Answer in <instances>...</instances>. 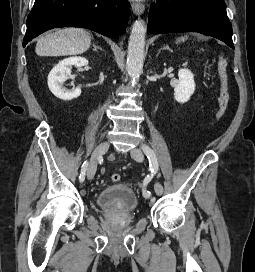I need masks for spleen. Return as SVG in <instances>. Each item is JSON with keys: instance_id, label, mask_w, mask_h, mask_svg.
<instances>
[{"instance_id": "3e777b00", "label": "spleen", "mask_w": 255, "mask_h": 272, "mask_svg": "<svg viewBox=\"0 0 255 272\" xmlns=\"http://www.w3.org/2000/svg\"><path fill=\"white\" fill-rule=\"evenodd\" d=\"M186 38H187V37H181L180 39H178V42H179V41H185Z\"/></svg>"}]
</instances>
